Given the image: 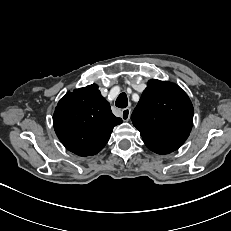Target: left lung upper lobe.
Here are the masks:
<instances>
[{
	"instance_id": "1",
	"label": "left lung upper lobe",
	"mask_w": 231,
	"mask_h": 231,
	"mask_svg": "<svg viewBox=\"0 0 231 231\" xmlns=\"http://www.w3.org/2000/svg\"><path fill=\"white\" fill-rule=\"evenodd\" d=\"M193 113L189 97L178 85L151 79L131 120L150 150L168 154L188 138Z\"/></svg>"
}]
</instances>
